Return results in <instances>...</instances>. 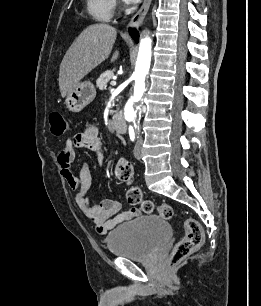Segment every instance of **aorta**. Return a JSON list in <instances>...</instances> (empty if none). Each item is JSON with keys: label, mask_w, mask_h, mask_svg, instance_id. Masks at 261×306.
Wrapping results in <instances>:
<instances>
[{"label": "aorta", "mask_w": 261, "mask_h": 306, "mask_svg": "<svg viewBox=\"0 0 261 306\" xmlns=\"http://www.w3.org/2000/svg\"><path fill=\"white\" fill-rule=\"evenodd\" d=\"M151 56V39L149 37L142 38L133 74L135 80L134 93L130 96L124 108V116L127 122L134 124L137 122V106L145 91V78L150 68Z\"/></svg>", "instance_id": "762f6f07"}]
</instances>
